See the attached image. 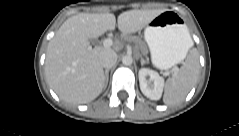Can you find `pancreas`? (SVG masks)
<instances>
[{"label": "pancreas", "mask_w": 239, "mask_h": 136, "mask_svg": "<svg viewBox=\"0 0 239 136\" xmlns=\"http://www.w3.org/2000/svg\"><path fill=\"white\" fill-rule=\"evenodd\" d=\"M125 39L128 41V42H136V43H140V40L134 36H125Z\"/></svg>", "instance_id": "obj_1"}]
</instances>
